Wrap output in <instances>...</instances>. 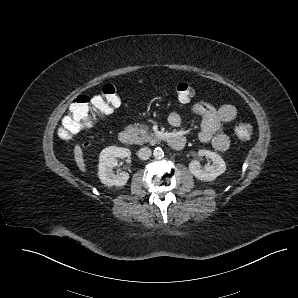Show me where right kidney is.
<instances>
[{"instance_id":"ca27d5eb","label":"right kidney","mask_w":298,"mask_h":298,"mask_svg":"<svg viewBox=\"0 0 298 298\" xmlns=\"http://www.w3.org/2000/svg\"><path fill=\"white\" fill-rule=\"evenodd\" d=\"M130 150L118 146H108L103 148L99 153L98 176L100 181L106 186L124 185L129 177L125 171L115 173L114 168L118 167L115 157L128 158Z\"/></svg>"}]
</instances>
